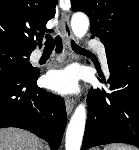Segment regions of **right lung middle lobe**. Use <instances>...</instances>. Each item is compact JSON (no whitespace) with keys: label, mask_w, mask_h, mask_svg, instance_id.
<instances>
[{"label":"right lung middle lobe","mask_w":139,"mask_h":150,"mask_svg":"<svg viewBox=\"0 0 139 150\" xmlns=\"http://www.w3.org/2000/svg\"><path fill=\"white\" fill-rule=\"evenodd\" d=\"M31 52L0 45V66H11L25 72H32L34 68L29 62Z\"/></svg>","instance_id":"right-lung-middle-lobe-1"}]
</instances>
